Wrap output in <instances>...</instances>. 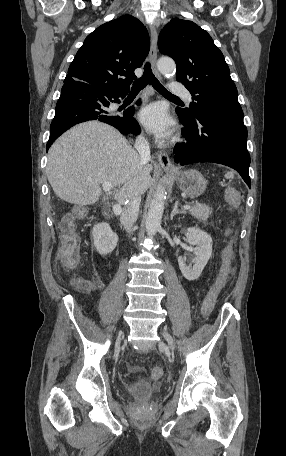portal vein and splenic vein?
Returning a JSON list of instances; mask_svg holds the SVG:
<instances>
[{"label":"portal vein and splenic vein","instance_id":"obj_1","mask_svg":"<svg viewBox=\"0 0 286 456\" xmlns=\"http://www.w3.org/2000/svg\"><path fill=\"white\" fill-rule=\"evenodd\" d=\"M102 187H103V190H104L105 192H110V190L112 189L113 186H112V184H111L110 182H104V183L102 184ZM190 207H191V206H190L189 204H186V205L183 206L184 209H190ZM113 212H114L116 215H119V214L122 212L121 206H120L119 204H115V205L113 206Z\"/></svg>","mask_w":286,"mask_h":456}]
</instances>
